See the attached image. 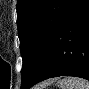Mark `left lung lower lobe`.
Listing matches in <instances>:
<instances>
[{"label":"left lung lower lobe","mask_w":89,"mask_h":89,"mask_svg":"<svg viewBox=\"0 0 89 89\" xmlns=\"http://www.w3.org/2000/svg\"><path fill=\"white\" fill-rule=\"evenodd\" d=\"M58 76L89 80V0L71 1L55 30L50 49L26 89Z\"/></svg>","instance_id":"obj_1"}]
</instances>
